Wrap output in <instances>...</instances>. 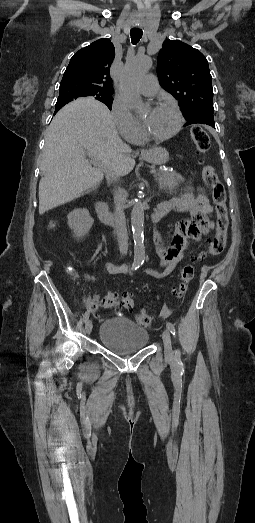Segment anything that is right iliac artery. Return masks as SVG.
I'll list each match as a JSON object with an SVG mask.
<instances>
[{
  "label": "right iliac artery",
  "instance_id": "obj_1",
  "mask_svg": "<svg viewBox=\"0 0 255 523\" xmlns=\"http://www.w3.org/2000/svg\"><path fill=\"white\" fill-rule=\"evenodd\" d=\"M139 267H140V262H138V261H135V262L132 264V269H133V270H136V269H138ZM88 318H89V311H86V312L84 313V315H83V320H84V322H86V321L88 320Z\"/></svg>",
  "mask_w": 255,
  "mask_h": 523
}]
</instances>
